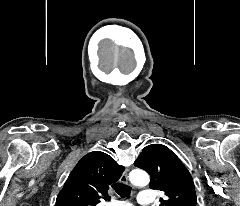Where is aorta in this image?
<instances>
[{"label":"aorta","instance_id":"1","mask_svg":"<svg viewBox=\"0 0 240 206\" xmlns=\"http://www.w3.org/2000/svg\"><path fill=\"white\" fill-rule=\"evenodd\" d=\"M130 181L135 186H145L149 183V175L142 170H133L129 175Z\"/></svg>","mask_w":240,"mask_h":206}]
</instances>
